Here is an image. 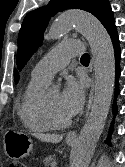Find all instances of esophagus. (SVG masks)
Wrapping results in <instances>:
<instances>
[{
  "mask_svg": "<svg viewBox=\"0 0 125 167\" xmlns=\"http://www.w3.org/2000/svg\"><path fill=\"white\" fill-rule=\"evenodd\" d=\"M93 95H94V83H92L91 89H90V93H89V98H88V103H87V109H86V116L89 112V109L91 107L92 104V100H93ZM66 139L68 140H75L77 139V132L76 131H70L66 134Z\"/></svg>",
  "mask_w": 125,
  "mask_h": 167,
  "instance_id": "34e87169",
  "label": "esophagus"
}]
</instances>
